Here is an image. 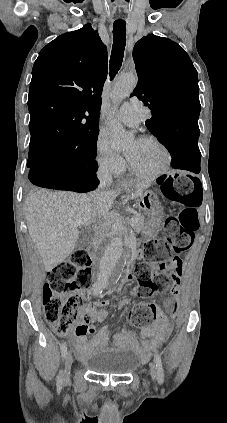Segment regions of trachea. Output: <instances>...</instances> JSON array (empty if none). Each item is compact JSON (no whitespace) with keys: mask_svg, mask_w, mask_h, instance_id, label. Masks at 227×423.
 Returning a JSON list of instances; mask_svg holds the SVG:
<instances>
[{"mask_svg":"<svg viewBox=\"0 0 227 423\" xmlns=\"http://www.w3.org/2000/svg\"><path fill=\"white\" fill-rule=\"evenodd\" d=\"M126 46V22L124 20H115L113 24V46L110 57V78L111 80L120 70L124 58Z\"/></svg>","mask_w":227,"mask_h":423,"instance_id":"1","label":"trachea"}]
</instances>
